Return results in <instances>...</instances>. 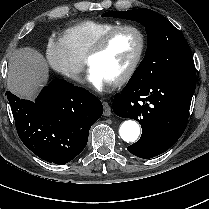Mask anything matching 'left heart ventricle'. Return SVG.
Returning a JSON list of instances; mask_svg holds the SVG:
<instances>
[{
  "instance_id": "1",
  "label": "left heart ventricle",
  "mask_w": 209,
  "mask_h": 209,
  "mask_svg": "<svg viewBox=\"0 0 209 209\" xmlns=\"http://www.w3.org/2000/svg\"><path fill=\"white\" fill-rule=\"evenodd\" d=\"M139 48V38L132 30L116 33L106 49L94 57L89 66L98 69L109 81L120 78L128 69Z\"/></svg>"
}]
</instances>
